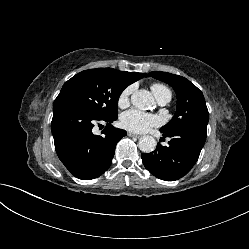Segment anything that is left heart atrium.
I'll list each match as a JSON object with an SVG mask.
<instances>
[{
	"instance_id": "39dd6f15",
	"label": "left heart atrium",
	"mask_w": 249,
	"mask_h": 249,
	"mask_svg": "<svg viewBox=\"0 0 249 249\" xmlns=\"http://www.w3.org/2000/svg\"><path fill=\"white\" fill-rule=\"evenodd\" d=\"M159 124L160 119L157 116L137 109L126 111L121 116L122 127L132 132H146Z\"/></svg>"
}]
</instances>
